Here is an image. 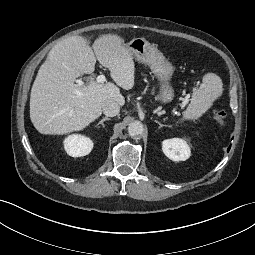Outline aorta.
Masks as SVG:
<instances>
[{
  "label": "aorta",
  "mask_w": 255,
  "mask_h": 255,
  "mask_svg": "<svg viewBox=\"0 0 255 255\" xmlns=\"http://www.w3.org/2000/svg\"><path fill=\"white\" fill-rule=\"evenodd\" d=\"M128 133L131 137H137L144 133V126L140 121L131 122L128 126Z\"/></svg>",
  "instance_id": "762f6f07"
}]
</instances>
